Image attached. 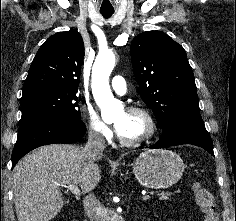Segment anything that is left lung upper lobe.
I'll use <instances>...</instances> for the list:
<instances>
[{
	"mask_svg": "<svg viewBox=\"0 0 236 221\" xmlns=\"http://www.w3.org/2000/svg\"><path fill=\"white\" fill-rule=\"evenodd\" d=\"M139 93L161 129L178 118L201 117L192 68L181 45L160 31L136 36L130 47Z\"/></svg>",
	"mask_w": 236,
	"mask_h": 221,
	"instance_id": "5c2ea615",
	"label": "left lung upper lobe"
}]
</instances>
